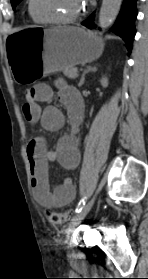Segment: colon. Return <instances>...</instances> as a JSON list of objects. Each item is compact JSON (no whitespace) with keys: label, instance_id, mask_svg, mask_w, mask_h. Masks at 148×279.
<instances>
[{"label":"colon","instance_id":"colon-1","mask_svg":"<svg viewBox=\"0 0 148 279\" xmlns=\"http://www.w3.org/2000/svg\"><path fill=\"white\" fill-rule=\"evenodd\" d=\"M34 88L30 87L25 90L24 97L26 100V103H31L34 100ZM45 216L47 220L56 225L63 224L67 222L70 218V213L69 212H61L53 209H46L45 210Z\"/></svg>","mask_w":148,"mask_h":279}]
</instances>
